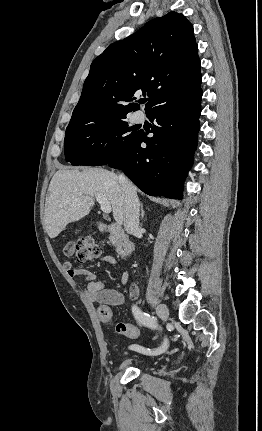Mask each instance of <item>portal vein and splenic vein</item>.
Wrapping results in <instances>:
<instances>
[{
    "mask_svg": "<svg viewBox=\"0 0 262 431\" xmlns=\"http://www.w3.org/2000/svg\"><path fill=\"white\" fill-rule=\"evenodd\" d=\"M96 200L100 204L103 213L108 214L111 212V203L104 196L97 194Z\"/></svg>",
    "mask_w": 262,
    "mask_h": 431,
    "instance_id": "18ae733b",
    "label": "portal vein and splenic vein"
}]
</instances>
